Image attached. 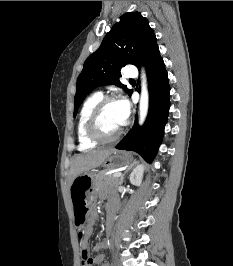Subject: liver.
<instances>
[{
  "label": "liver",
  "mask_w": 233,
  "mask_h": 266,
  "mask_svg": "<svg viewBox=\"0 0 233 266\" xmlns=\"http://www.w3.org/2000/svg\"><path fill=\"white\" fill-rule=\"evenodd\" d=\"M112 151L113 149H100L75 155L72 159L68 174L69 185L79 175L100 166Z\"/></svg>",
  "instance_id": "1"
}]
</instances>
